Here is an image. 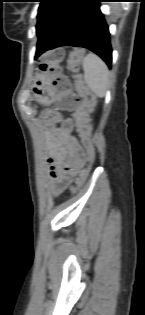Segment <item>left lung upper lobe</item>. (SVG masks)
<instances>
[{
	"label": "left lung upper lobe",
	"mask_w": 145,
	"mask_h": 315,
	"mask_svg": "<svg viewBox=\"0 0 145 315\" xmlns=\"http://www.w3.org/2000/svg\"><path fill=\"white\" fill-rule=\"evenodd\" d=\"M71 2L72 0H41L36 25L38 42L44 38L55 20Z\"/></svg>",
	"instance_id": "obj_1"
}]
</instances>
